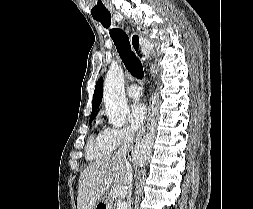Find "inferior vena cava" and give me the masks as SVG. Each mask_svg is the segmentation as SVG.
Returning a JSON list of instances; mask_svg holds the SVG:
<instances>
[{
    "mask_svg": "<svg viewBox=\"0 0 253 209\" xmlns=\"http://www.w3.org/2000/svg\"><path fill=\"white\" fill-rule=\"evenodd\" d=\"M134 136L131 132H126L123 136V143L121 145V147L118 149L117 153L115 154V157L119 160H123L126 163L127 169L129 171L128 174V178H129V182H128V187H129V195L128 197L130 198L131 196V190H132V180H133V176H132V168L131 165L129 164V162L126 159V154L128 152V149L131 145V143L133 142ZM130 205H129V208Z\"/></svg>",
    "mask_w": 253,
    "mask_h": 209,
    "instance_id": "602c4592",
    "label": "inferior vena cava"
}]
</instances>
